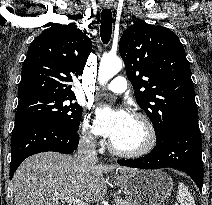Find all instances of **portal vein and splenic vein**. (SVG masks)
<instances>
[{
    "mask_svg": "<svg viewBox=\"0 0 212 205\" xmlns=\"http://www.w3.org/2000/svg\"><path fill=\"white\" fill-rule=\"evenodd\" d=\"M64 201L70 203V205H71V204H73V205H89V204L83 202V201L80 200V199L72 198V197L63 198V202H64Z\"/></svg>",
    "mask_w": 212,
    "mask_h": 205,
    "instance_id": "18ae733b",
    "label": "portal vein and splenic vein"
}]
</instances>
